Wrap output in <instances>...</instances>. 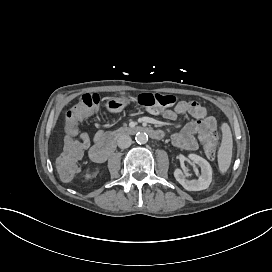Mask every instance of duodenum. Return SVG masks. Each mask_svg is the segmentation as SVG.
<instances>
[{
	"label": "duodenum",
	"mask_w": 272,
	"mask_h": 272,
	"mask_svg": "<svg viewBox=\"0 0 272 272\" xmlns=\"http://www.w3.org/2000/svg\"><path fill=\"white\" fill-rule=\"evenodd\" d=\"M123 132L137 133L144 132L153 139H161L163 132L148 127L136 126L124 130ZM121 132L102 134L100 140L89 150V157L92 161L102 163L112 154L115 148L116 138Z\"/></svg>",
	"instance_id": "1"
}]
</instances>
